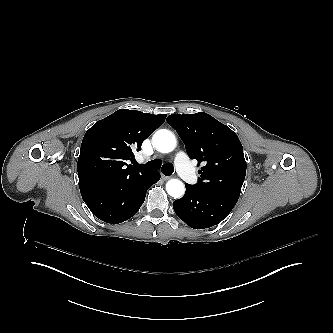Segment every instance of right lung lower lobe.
<instances>
[{
  "label": "right lung lower lobe",
  "instance_id": "obj_1",
  "mask_svg": "<svg viewBox=\"0 0 333 333\" xmlns=\"http://www.w3.org/2000/svg\"><path fill=\"white\" fill-rule=\"evenodd\" d=\"M160 179V173L142 171L113 183L102 181L79 184L82 198L100 220L118 224L137 213L147 189Z\"/></svg>",
  "mask_w": 333,
  "mask_h": 333
}]
</instances>
